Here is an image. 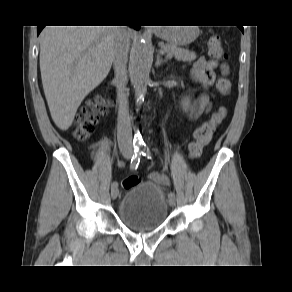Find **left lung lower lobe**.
Returning a JSON list of instances; mask_svg holds the SVG:
<instances>
[{"instance_id": "1", "label": "left lung lower lobe", "mask_w": 292, "mask_h": 292, "mask_svg": "<svg viewBox=\"0 0 292 292\" xmlns=\"http://www.w3.org/2000/svg\"><path fill=\"white\" fill-rule=\"evenodd\" d=\"M239 28L241 29L242 32H244L243 26H239Z\"/></svg>"}]
</instances>
